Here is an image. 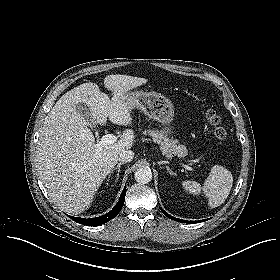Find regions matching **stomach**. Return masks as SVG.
Listing matches in <instances>:
<instances>
[{"label":"stomach","mask_w":280,"mask_h":280,"mask_svg":"<svg viewBox=\"0 0 280 280\" xmlns=\"http://www.w3.org/2000/svg\"><path fill=\"white\" fill-rule=\"evenodd\" d=\"M133 108L140 109L150 119L160 122L164 128L162 135L167 137L172 131L174 106L172 102L156 92L134 91L126 94Z\"/></svg>","instance_id":"1"}]
</instances>
